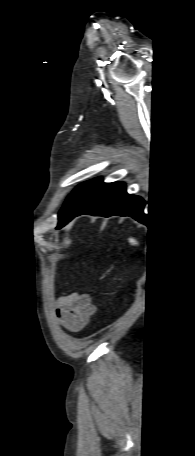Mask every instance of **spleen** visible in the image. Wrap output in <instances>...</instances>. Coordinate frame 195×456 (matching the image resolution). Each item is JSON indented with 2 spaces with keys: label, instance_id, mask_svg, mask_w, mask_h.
<instances>
[{
  "label": "spleen",
  "instance_id": "1",
  "mask_svg": "<svg viewBox=\"0 0 195 456\" xmlns=\"http://www.w3.org/2000/svg\"><path fill=\"white\" fill-rule=\"evenodd\" d=\"M130 242H131L132 244H135V241H134L133 239H130Z\"/></svg>",
  "mask_w": 195,
  "mask_h": 456
}]
</instances>
